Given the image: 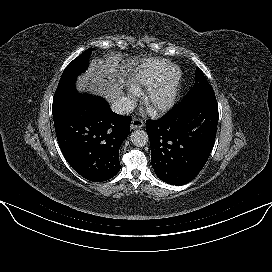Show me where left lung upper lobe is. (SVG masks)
Wrapping results in <instances>:
<instances>
[{"instance_id":"5c2ea615","label":"left lung upper lobe","mask_w":272,"mask_h":272,"mask_svg":"<svg viewBox=\"0 0 272 272\" xmlns=\"http://www.w3.org/2000/svg\"><path fill=\"white\" fill-rule=\"evenodd\" d=\"M215 97L212 87L207 82L203 73L196 68V80L193 88L182 99V102H190L198 99Z\"/></svg>"}]
</instances>
